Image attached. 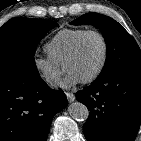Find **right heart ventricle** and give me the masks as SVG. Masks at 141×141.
<instances>
[{
	"label": "right heart ventricle",
	"mask_w": 141,
	"mask_h": 141,
	"mask_svg": "<svg viewBox=\"0 0 141 141\" xmlns=\"http://www.w3.org/2000/svg\"><path fill=\"white\" fill-rule=\"evenodd\" d=\"M83 28H68L58 31L45 45V51L56 63L62 65L77 39L85 32Z\"/></svg>",
	"instance_id": "right-heart-ventricle-1"
}]
</instances>
